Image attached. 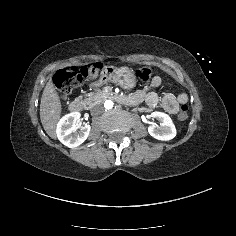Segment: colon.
I'll use <instances>...</instances> for the list:
<instances>
[{
    "label": "colon",
    "instance_id": "1",
    "mask_svg": "<svg viewBox=\"0 0 236 236\" xmlns=\"http://www.w3.org/2000/svg\"><path fill=\"white\" fill-rule=\"evenodd\" d=\"M102 71V65L94 63L80 68L72 67L68 70H59L54 75V83L62 99H66L72 91L79 86L85 79L96 80ZM153 74L150 66H141L136 70V75L142 81H149ZM188 108L185 104L179 108L178 118L182 121L188 118Z\"/></svg>",
    "mask_w": 236,
    "mask_h": 236
}]
</instances>
